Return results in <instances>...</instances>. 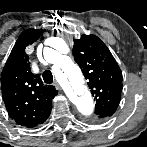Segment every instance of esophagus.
<instances>
[{
    "label": "esophagus",
    "mask_w": 147,
    "mask_h": 147,
    "mask_svg": "<svg viewBox=\"0 0 147 147\" xmlns=\"http://www.w3.org/2000/svg\"><path fill=\"white\" fill-rule=\"evenodd\" d=\"M54 85H55V87H56L57 89L61 90V85H60L57 81L55 82Z\"/></svg>",
    "instance_id": "34e87169"
}]
</instances>
